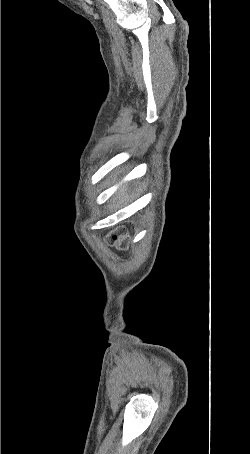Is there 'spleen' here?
Returning a JSON list of instances; mask_svg holds the SVG:
<instances>
[{
  "label": "spleen",
  "mask_w": 250,
  "mask_h": 454,
  "mask_svg": "<svg viewBox=\"0 0 250 454\" xmlns=\"http://www.w3.org/2000/svg\"><path fill=\"white\" fill-rule=\"evenodd\" d=\"M119 198H121L122 200H123L124 198L126 199L124 188L121 189V190L119 191Z\"/></svg>",
  "instance_id": "3e777b00"
}]
</instances>
